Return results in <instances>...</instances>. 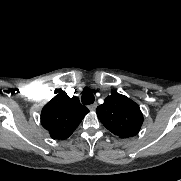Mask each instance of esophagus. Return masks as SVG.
<instances>
[{
    "label": "esophagus",
    "instance_id": "esophagus-1",
    "mask_svg": "<svg viewBox=\"0 0 181 181\" xmlns=\"http://www.w3.org/2000/svg\"><path fill=\"white\" fill-rule=\"evenodd\" d=\"M88 108H89L90 111H95L96 108H97V104H96V103L90 104V105L88 106Z\"/></svg>",
    "mask_w": 181,
    "mask_h": 181
}]
</instances>
